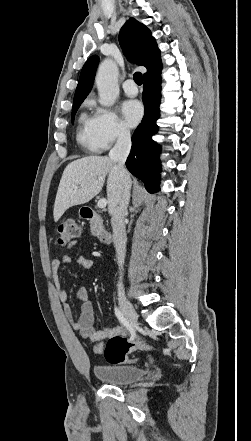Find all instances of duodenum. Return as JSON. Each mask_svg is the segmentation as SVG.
Returning a JSON list of instances; mask_svg holds the SVG:
<instances>
[{
  "label": "duodenum",
  "mask_w": 251,
  "mask_h": 441,
  "mask_svg": "<svg viewBox=\"0 0 251 441\" xmlns=\"http://www.w3.org/2000/svg\"><path fill=\"white\" fill-rule=\"evenodd\" d=\"M81 214L86 220H94L97 218L96 212L89 207L82 208ZM98 238L104 245H109L112 241V235L107 229H101L98 234Z\"/></svg>",
  "instance_id": "obj_1"
}]
</instances>
